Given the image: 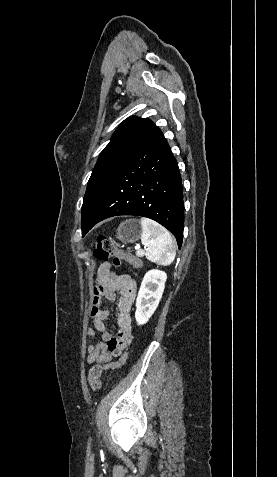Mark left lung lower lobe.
<instances>
[{
    "label": "left lung lower lobe",
    "instance_id": "obj_1",
    "mask_svg": "<svg viewBox=\"0 0 277 477\" xmlns=\"http://www.w3.org/2000/svg\"><path fill=\"white\" fill-rule=\"evenodd\" d=\"M118 215L157 221L175 236L181 248L184 228L181 175L162 132L115 173L92 217L81 226L82 236L96 223Z\"/></svg>",
    "mask_w": 277,
    "mask_h": 477
}]
</instances>
